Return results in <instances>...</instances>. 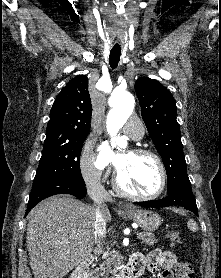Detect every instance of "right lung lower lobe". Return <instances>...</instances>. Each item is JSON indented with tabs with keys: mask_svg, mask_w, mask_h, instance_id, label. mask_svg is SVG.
I'll use <instances>...</instances> for the list:
<instances>
[{
	"mask_svg": "<svg viewBox=\"0 0 221 278\" xmlns=\"http://www.w3.org/2000/svg\"><path fill=\"white\" fill-rule=\"evenodd\" d=\"M71 194L77 198H84L86 195L85 182H77L70 179H62L51 182L38 190L32 191L29 196V202L26 215L41 200L56 194Z\"/></svg>",
	"mask_w": 221,
	"mask_h": 278,
	"instance_id": "1",
	"label": "right lung lower lobe"
}]
</instances>
